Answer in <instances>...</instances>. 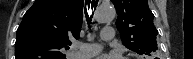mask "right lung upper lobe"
I'll return each mask as SVG.
<instances>
[{
	"label": "right lung upper lobe",
	"instance_id": "cb5924a9",
	"mask_svg": "<svg viewBox=\"0 0 193 59\" xmlns=\"http://www.w3.org/2000/svg\"><path fill=\"white\" fill-rule=\"evenodd\" d=\"M84 0H36L17 30L15 59H66L79 38Z\"/></svg>",
	"mask_w": 193,
	"mask_h": 59
}]
</instances>
